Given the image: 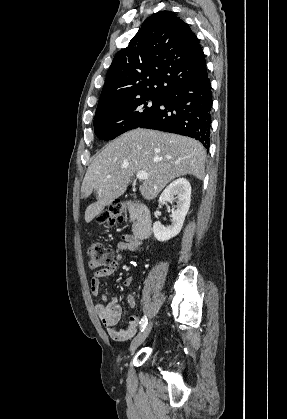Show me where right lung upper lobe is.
I'll return each mask as SVG.
<instances>
[{
	"mask_svg": "<svg viewBox=\"0 0 287 419\" xmlns=\"http://www.w3.org/2000/svg\"><path fill=\"white\" fill-rule=\"evenodd\" d=\"M207 74L203 50L188 24L171 11L147 18L107 72L97 110L158 95Z\"/></svg>",
	"mask_w": 287,
	"mask_h": 419,
	"instance_id": "1",
	"label": "right lung upper lobe"
}]
</instances>
